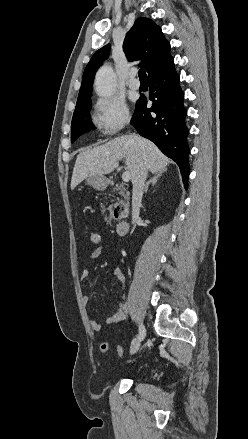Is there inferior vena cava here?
Wrapping results in <instances>:
<instances>
[{
    "label": "inferior vena cava",
    "instance_id": "obj_1",
    "mask_svg": "<svg viewBox=\"0 0 248 439\" xmlns=\"http://www.w3.org/2000/svg\"><path fill=\"white\" fill-rule=\"evenodd\" d=\"M148 169L145 163H141L136 175L132 180V223L135 224L139 219L141 201L143 196L144 184L147 178Z\"/></svg>",
    "mask_w": 248,
    "mask_h": 439
}]
</instances>
